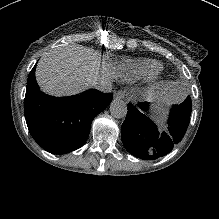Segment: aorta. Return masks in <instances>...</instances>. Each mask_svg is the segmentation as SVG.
Returning a JSON list of instances; mask_svg holds the SVG:
<instances>
[{
  "instance_id": "aorta-1",
  "label": "aorta",
  "mask_w": 219,
  "mask_h": 219,
  "mask_svg": "<svg viewBox=\"0 0 219 219\" xmlns=\"http://www.w3.org/2000/svg\"><path fill=\"white\" fill-rule=\"evenodd\" d=\"M110 113L113 118H125L128 112L126 103L121 99H114L110 104Z\"/></svg>"
}]
</instances>
